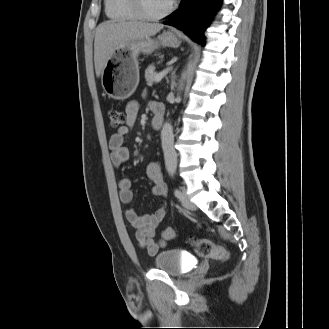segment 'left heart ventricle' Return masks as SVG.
Listing matches in <instances>:
<instances>
[{"mask_svg":"<svg viewBox=\"0 0 329 329\" xmlns=\"http://www.w3.org/2000/svg\"><path fill=\"white\" fill-rule=\"evenodd\" d=\"M170 3V0H142L144 9L149 14H159L163 12Z\"/></svg>","mask_w":329,"mask_h":329,"instance_id":"left-heart-ventricle-1","label":"left heart ventricle"}]
</instances>
